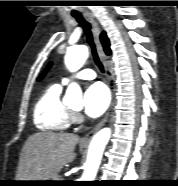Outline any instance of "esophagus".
Returning <instances> with one entry per match:
<instances>
[{
    "instance_id": "34e87169",
    "label": "esophagus",
    "mask_w": 178,
    "mask_h": 186,
    "mask_svg": "<svg viewBox=\"0 0 178 186\" xmlns=\"http://www.w3.org/2000/svg\"><path fill=\"white\" fill-rule=\"evenodd\" d=\"M87 19L90 21V23L93 26V32H94V36H95V41H96V45H97L98 54H99L101 60L103 62H105L106 61V55L103 51L102 45H101L100 40H99L100 28L98 26V23L96 22V20L94 19V17L92 15L87 16ZM106 69H107V67H106ZM109 116H110V109L106 113L105 117L89 133H87L82 138L81 143H83V144L88 143L92 139V137L95 135V133L104 126V124L108 120Z\"/></svg>"
}]
</instances>
